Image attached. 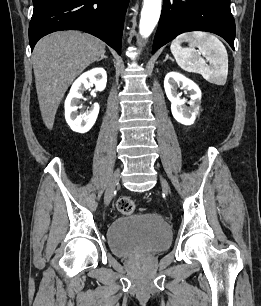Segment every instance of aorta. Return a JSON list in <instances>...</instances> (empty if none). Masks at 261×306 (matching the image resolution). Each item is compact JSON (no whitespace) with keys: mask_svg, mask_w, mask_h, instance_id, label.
Returning a JSON list of instances; mask_svg holds the SVG:
<instances>
[{"mask_svg":"<svg viewBox=\"0 0 261 306\" xmlns=\"http://www.w3.org/2000/svg\"><path fill=\"white\" fill-rule=\"evenodd\" d=\"M161 3L162 0H144L139 23V32L142 37H149L158 23Z\"/></svg>","mask_w":261,"mask_h":306,"instance_id":"obj_1","label":"aorta"}]
</instances>
